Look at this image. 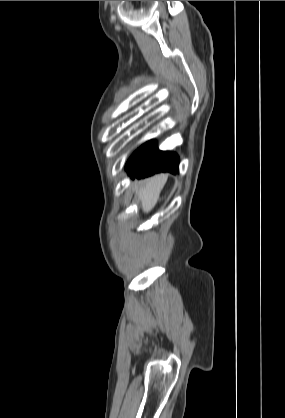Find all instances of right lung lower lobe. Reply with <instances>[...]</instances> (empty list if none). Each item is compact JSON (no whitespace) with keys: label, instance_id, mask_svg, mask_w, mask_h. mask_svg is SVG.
I'll list each match as a JSON object with an SVG mask.
<instances>
[{"label":"right lung lower lobe","instance_id":"obj_1","mask_svg":"<svg viewBox=\"0 0 285 418\" xmlns=\"http://www.w3.org/2000/svg\"><path fill=\"white\" fill-rule=\"evenodd\" d=\"M126 171L131 177L144 178L159 172H179V157L170 151H160L154 140L140 146L128 159Z\"/></svg>","mask_w":285,"mask_h":418}]
</instances>
